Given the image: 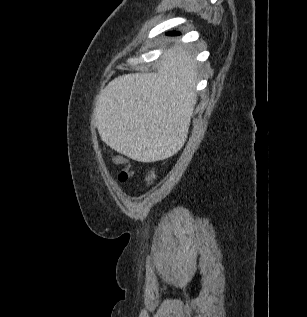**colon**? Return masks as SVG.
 Returning a JSON list of instances; mask_svg holds the SVG:
<instances>
[{
    "label": "colon",
    "instance_id": "colon-1",
    "mask_svg": "<svg viewBox=\"0 0 307 317\" xmlns=\"http://www.w3.org/2000/svg\"><path fill=\"white\" fill-rule=\"evenodd\" d=\"M109 159L114 165L124 166L118 174V179L120 182H127L133 175V171L131 170L128 164V160L125 157L120 155L110 156ZM156 179H157V173L155 169L154 168L149 169L145 177L146 185L150 186L154 184Z\"/></svg>",
    "mask_w": 307,
    "mask_h": 317
}]
</instances>
